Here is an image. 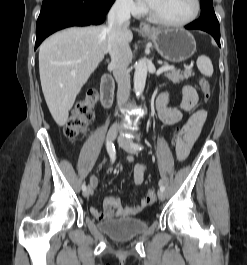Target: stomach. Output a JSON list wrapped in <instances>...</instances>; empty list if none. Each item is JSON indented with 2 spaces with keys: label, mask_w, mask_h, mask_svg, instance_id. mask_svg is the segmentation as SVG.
Here are the masks:
<instances>
[{
  "label": "stomach",
  "mask_w": 247,
  "mask_h": 265,
  "mask_svg": "<svg viewBox=\"0 0 247 265\" xmlns=\"http://www.w3.org/2000/svg\"><path fill=\"white\" fill-rule=\"evenodd\" d=\"M144 35L149 37L157 52L167 61L178 63L193 56L196 42L191 33L184 29H151Z\"/></svg>",
  "instance_id": "obj_1"
}]
</instances>
